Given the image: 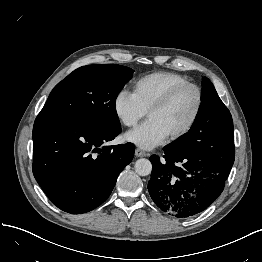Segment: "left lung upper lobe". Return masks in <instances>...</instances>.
I'll list each match as a JSON object with an SVG mask.
<instances>
[{"mask_svg":"<svg viewBox=\"0 0 262 262\" xmlns=\"http://www.w3.org/2000/svg\"><path fill=\"white\" fill-rule=\"evenodd\" d=\"M230 145L234 146L231 114L211 81L203 77L201 105L191 129L167 147L174 152L220 159Z\"/></svg>","mask_w":262,"mask_h":262,"instance_id":"1","label":"left lung upper lobe"}]
</instances>
